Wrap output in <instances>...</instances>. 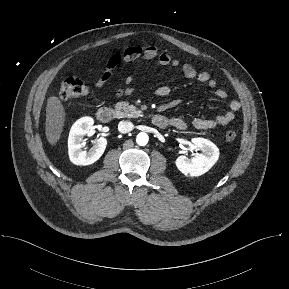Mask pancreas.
I'll return each instance as SVG.
<instances>
[{"label": "pancreas", "instance_id": "1", "mask_svg": "<svg viewBox=\"0 0 289 289\" xmlns=\"http://www.w3.org/2000/svg\"><path fill=\"white\" fill-rule=\"evenodd\" d=\"M115 110L118 116L136 118L142 115V111L133 105H129L127 102H117L115 104Z\"/></svg>", "mask_w": 289, "mask_h": 289}]
</instances>
